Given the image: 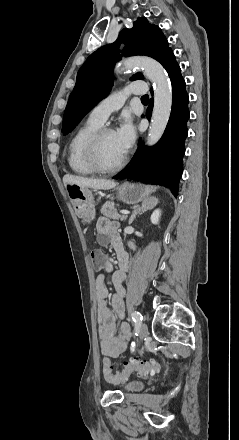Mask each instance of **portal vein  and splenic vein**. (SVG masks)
<instances>
[{"mask_svg":"<svg viewBox=\"0 0 239 440\" xmlns=\"http://www.w3.org/2000/svg\"><path fill=\"white\" fill-rule=\"evenodd\" d=\"M120 211H121V212L119 213L120 215H127V214H130V211H129V210L127 211V209H121Z\"/></svg>","mask_w":239,"mask_h":440,"instance_id":"obj_1","label":"portal vein and splenic vein"}]
</instances>
